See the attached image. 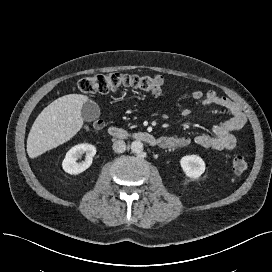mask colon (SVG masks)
I'll return each instance as SVG.
<instances>
[{"label":"colon","mask_w":272,"mask_h":272,"mask_svg":"<svg viewBox=\"0 0 272 272\" xmlns=\"http://www.w3.org/2000/svg\"><path fill=\"white\" fill-rule=\"evenodd\" d=\"M164 80L159 75H130L118 72L86 76L78 81V89L85 94H107L121 88H134L143 92L158 95L162 91ZM248 163L243 156H235L232 169L235 173H243Z\"/></svg>","instance_id":"1"}]
</instances>
